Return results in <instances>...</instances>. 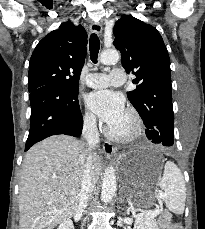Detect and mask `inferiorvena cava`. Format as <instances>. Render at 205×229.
<instances>
[{"label": "inferior vena cava", "instance_id": "602c4592", "mask_svg": "<svg viewBox=\"0 0 205 229\" xmlns=\"http://www.w3.org/2000/svg\"><path fill=\"white\" fill-rule=\"evenodd\" d=\"M82 135L88 144V156L84 167L81 190L77 212L82 213L88 206L90 197L95 188L96 179L93 172L92 152L95 151L99 142V133L96 125V118L93 115L84 118Z\"/></svg>", "mask_w": 205, "mask_h": 229}]
</instances>
